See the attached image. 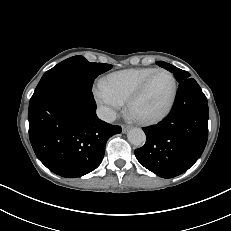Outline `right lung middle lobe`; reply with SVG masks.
<instances>
[{
    "mask_svg": "<svg viewBox=\"0 0 231 231\" xmlns=\"http://www.w3.org/2000/svg\"><path fill=\"white\" fill-rule=\"evenodd\" d=\"M111 68L110 64L91 63L82 56L68 58L45 72L32 97L58 82H73L92 90L95 78Z\"/></svg>",
    "mask_w": 231,
    "mask_h": 231,
    "instance_id": "dd1d6c3e",
    "label": "right lung middle lobe"
}]
</instances>
